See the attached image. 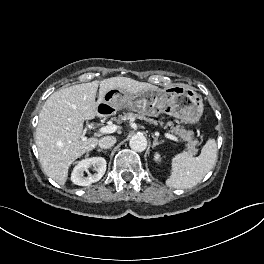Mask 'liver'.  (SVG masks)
<instances>
[{
	"mask_svg": "<svg viewBox=\"0 0 264 264\" xmlns=\"http://www.w3.org/2000/svg\"><path fill=\"white\" fill-rule=\"evenodd\" d=\"M99 87V99L95 102ZM114 88L137 95L157 89L153 85L127 77H112L73 85L54 92L44 103L36 129V145L44 173L60 185L67 181L70 165L83 154L92 151L97 138L82 135L85 120L97 115V104Z\"/></svg>",
	"mask_w": 264,
	"mask_h": 264,
	"instance_id": "6515ba94",
	"label": "liver"
}]
</instances>
